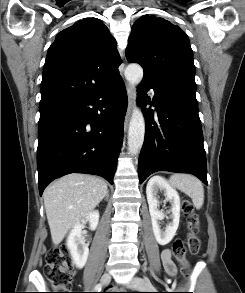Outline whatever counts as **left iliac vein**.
<instances>
[{
    "label": "left iliac vein",
    "instance_id": "obj_1",
    "mask_svg": "<svg viewBox=\"0 0 245 293\" xmlns=\"http://www.w3.org/2000/svg\"><path fill=\"white\" fill-rule=\"evenodd\" d=\"M129 286L138 290H145L146 287L154 288L150 281L143 280L139 277H133Z\"/></svg>",
    "mask_w": 245,
    "mask_h": 293
}]
</instances>
